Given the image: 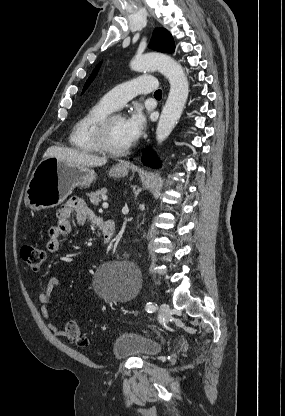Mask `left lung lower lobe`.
Returning <instances> with one entry per match:
<instances>
[{
    "mask_svg": "<svg viewBox=\"0 0 285 416\" xmlns=\"http://www.w3.org/2000/svg\"><path fill=\"white\" fill-rule=\"evenodd\" d=\"M143 164L150 166L152 168H159L160 163L156 155L149 149L145 150L142 155Z\"/></svg>",
    "mask_w": 285,
    "mask_h": 416,
    "instance_id": "0a47b994",
    "label": "left lung lower lobe"
}]
</instances>
